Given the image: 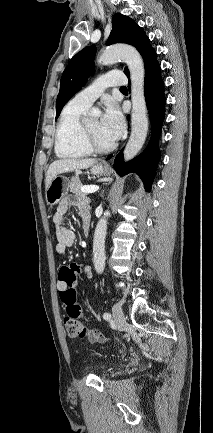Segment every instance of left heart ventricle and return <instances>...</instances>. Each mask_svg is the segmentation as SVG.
Returning <instances> with one entry per match:
<instances>
[{"instance_id": "left-heart-ventricle-1", "label": "left heart ventricle", "mask_w": 213, "mask_h": 433, "mask_svg": "<svg viewBox=\"0 0 213 433\" xmlns=\"http://www.w3.org/2000/svg\"><path fill=\"white\" fill-rule=\"evenodd\" d=\"M86 127L98 144L107 146L113 143V141H111L101 129L100 121L98 119L90 120L87 122Z\"/></svg>"}]
</instances>
